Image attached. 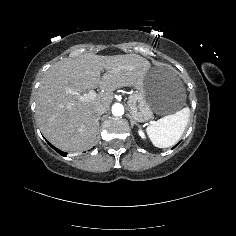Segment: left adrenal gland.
I'll return each mask as SVG.
<instances>
[{"mask_svg": "<svg viewBox=\"0 0 236 236\" xmlns=\"http://www.w3.org/2000/svg\"><path fill=\"white\" fill-rule=\"evenodd\" d=\"M128 117L130 118V124L131 126H133L134 123H136L138 126H140V124H138L131 115L128 114Z\"/></svg>", "mask_w": 236, "mask_h": 236, "instance_id": "a2214340", "label": "left adrenal gland"}]
</instances>
